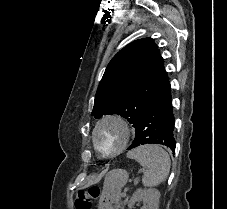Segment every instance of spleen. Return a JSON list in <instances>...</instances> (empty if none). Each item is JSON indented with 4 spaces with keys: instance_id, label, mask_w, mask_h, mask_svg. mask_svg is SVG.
Returning a JSON list of instances; mask_svg holds the SVG:
<instances>
[{
    "instance_id": "spleen-1",
    "label": "spleen",
    "mask_w": 227,
    "mask_h": 209,
    "mask_svg": "<svg viewBox=\"0 0 227 209\" xmlns=\"http://www.w3.org/2000/svg\"><path fill=\"white\" fill-rule=\"evenodd\" d=\"M128 159H135L144 169V187H157L164 183L170 169V157L159 145H142L127 153Z\"/></svg>"
}]
</instances>
